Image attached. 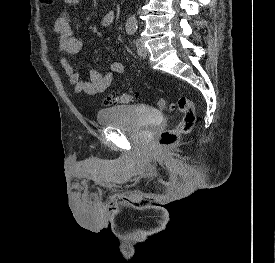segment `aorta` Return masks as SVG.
<instances>
[{
    "mask_svg": "<svg viewBox=\"0 0 275 263\" xmlns=\"http://www.w3.org/2000/svg\"><path fill=\"white\" fill-rule=\"evenodd\" d=\"M126 27L129 29H135L137 27V19L135 16H131L128 18L126 22Z\"/></svg>",
    "mask_w": 275,
    "mask_h": 263,
    "instance_id": "aorta-1",
    "label": "aorta"
}]
</instances>
